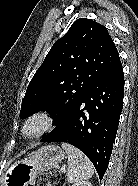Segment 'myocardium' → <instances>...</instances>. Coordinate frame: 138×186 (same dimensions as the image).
Segmentation results:
<instances>
[{"label": "myocardium", "instance_id": "1", "mask_svg": "<svg viewBox=\"0 0 138 186\" xmlns=\"http://www.w3.org/2000/svg\"><path fill=\"white\" fill-rule=\"evenodd\" d=\"M35 124L38 125V127L34 131L29 132V128ZM54 124L55 119L51 113L38 111L25 119L20 132L23 138L33 140L51 131Z\"/></svg>", "mask_w": 138, "mask_h": 186}]
</instances>
